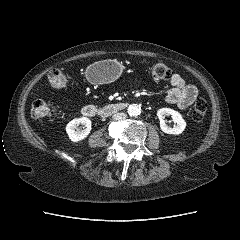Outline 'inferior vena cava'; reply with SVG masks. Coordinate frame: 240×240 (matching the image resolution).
I'll return each mask as SVG.
<instances>
[{
  "instance_id": "602c4592",
  "label": "inferior vena cava",
  "mask_w": 240,
  "mask_h": 240,
  "mask_svg": "<svg viewBox=\"0 0 240 240\" xmlns=\"http://www.w3.org/2000/svg\"><path fill=\"white\" fill-rule=\"evenodd\" d=\"M127 117V115L125 114V113H123V112H120V113H115V114H113V116H112V118L114 119V120H123V119H125Z\"/></svg>"
}]
</instances>
